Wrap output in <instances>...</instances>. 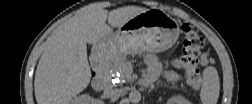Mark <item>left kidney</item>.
<instances>
[{
  "instance_id": "obj_1",
  "label": "left kidney",
  "mask_w": 252,
  "mask_h": 104,
  "mask_svg": "<svg viewBox=\"0 0 252 104\" xmlns=\"http://www.w3.org/2000/svg\"><path fill=\"white\" fill-rule=\"evenodd\" d=\"M171 103H176V104H187V100H185L181 96H175L170 99Z\"/></svg>"
}]
</instances>
